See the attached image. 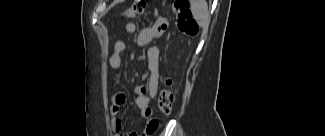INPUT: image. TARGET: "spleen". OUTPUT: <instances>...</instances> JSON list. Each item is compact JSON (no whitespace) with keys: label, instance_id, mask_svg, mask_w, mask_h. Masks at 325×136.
I'll return each instance as SVG.
<instances>
[{"label":"spleen","instance_id":"obj_1","mask_svg":"<svg viewBox=\"0 0 325 136\" xmlns=\"http://www.w3.org/2000/svg\"><path fill=\"white\" fill-rule=\"evenodd\" d=\"M194 17L205 26L209 22L208 8L205 0L199 2V5L192 8Z\"/></svg>","mask_w":325,"mask_h":136}]
</instances>
